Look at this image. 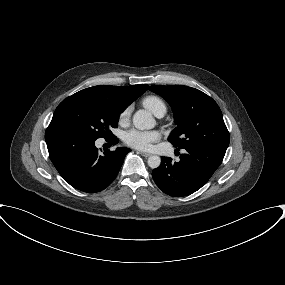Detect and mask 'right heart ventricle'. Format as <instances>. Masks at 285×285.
<instances>
[{
  "label": "right heart ventricle",
  "instance_id": "obj_1",
  "mask_svg": "<svg viewBox=\"0 0 285 285\" xmlns=\"http://www.w3.org/2000/svg\"><path fill=\"white\" fill-rule=\"evenodd\" d=\"M143 105L155 115L160 111L166 112L165 102L156 95L146 96L143 99Z\"/></svg>",
  "mask_w": 285,
  "mask_h": 285
}]
</instances>
